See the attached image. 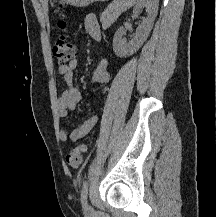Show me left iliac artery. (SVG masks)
I'll use <instances>...</instances> for the list:
<instances>
[{
    "instance_id": "obj_1",
    "label": "left iliac artery",
    "mask_w": 216,
    "mask_h": 217,
    "mask_svg": "<svg viewBox=\"0 0 216 217\" xmlns=\"http://www.w3.org/2000/svg\"><path fill=\"white\" fill-rule=\"evenodd\" d=\"M88 194V183L84 182L82 190H81V202L84 204L87 201Z\"/></svg>"
}]
</instances>
